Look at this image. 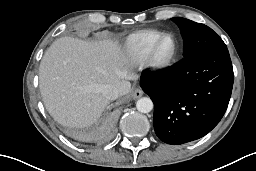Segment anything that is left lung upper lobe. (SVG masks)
Instances as JSON below:
<instances>
[{
	"instance_id": "obj_1",
	"label": "left lung upper lobe",
	"mask_w": 256,
	"mask_h": 171,
	"mask_svg": "<svg viewBox=\"0 0 256 171\" xmlns=\"http://www.w3.org/2000/svg\"><path fill=\"white\" fill-rule=\"evenodd\" d=\"M173 20L179 26L184 40V57L205 48L226 47L222 39L208 26L181 17Z\"/></svg>"
}]
</instances>
